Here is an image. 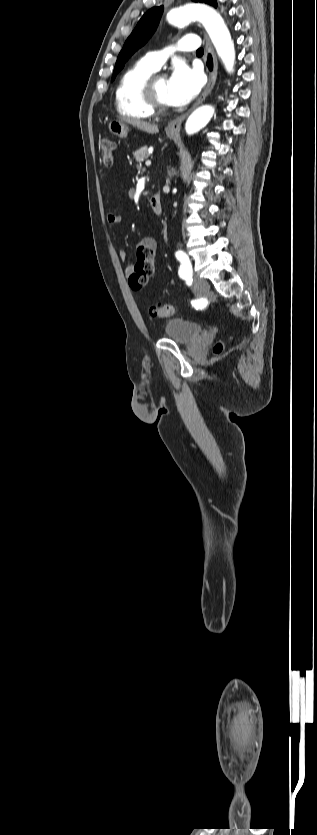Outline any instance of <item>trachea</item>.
Instances as JSON below:
<instances>
[{"label": "trachea", "instance_id": "3493384b", "mask_svg": "<svg viewBox=\"0 0 317 835\" xmlns=\"http://www.w3.org/2000/svg\"><path fill=\"white\" fill-rule=\"evenodd\" d=\"M203 53H204V50L202 48H200L196 51L197 55H202Z\"/></svg>", "mask_w": 317, "mask_h": 835}]
</instances>
